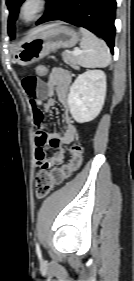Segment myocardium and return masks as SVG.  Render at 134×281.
<instances>
[{
    "label": "myocardium",
    "instance_id": "1",
    "mask_svg": "<svg viewBox=\"0 0 134 281\" xmlns=\"http://www.w3.org/2000/svg\"><path fill=\"white\" fill-rule=\"evenodd\" d=\"M47 6L48 0H22L18 7V19L24 24L32 23L45 12Z\"/></svg>",
    "mask_w": 134,
    "mask_h": 281
}]
</instances>
